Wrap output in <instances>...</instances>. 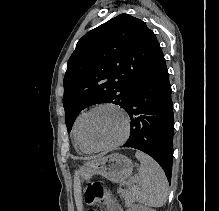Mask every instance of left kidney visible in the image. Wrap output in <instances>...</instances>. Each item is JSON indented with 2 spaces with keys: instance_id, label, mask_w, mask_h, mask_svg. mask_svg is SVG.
<instances>
[{
  "instance_id": "1",
  "label": "left kidney",
  "mask_w": 219,
  "mask_h": 211,
  "mask_svg": "<svg viewBox=\"0 0 219 211\" xmlns=\"http://www.w3.org/2000/svg\"><path fill=\"white\" fill-rule=\"evenodd\" d=\"M131 211H156V209H150V207H146V205H140V203H134V205H132Z\"/></svg>"
}]
</instances>
